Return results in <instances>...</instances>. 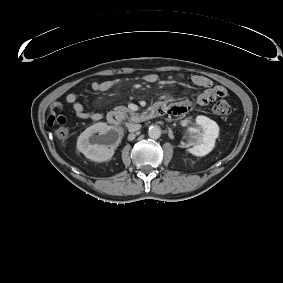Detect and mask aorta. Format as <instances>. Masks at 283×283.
<instances>
[{
	"label": "aorta",
	"mask_w": 283,
	"mask_h": 283,
	"mask_svg": "<svg viewBox=\"0 0 283 283\" xmlns=\"http://www.w3.org/2000/svg\"><path fill=\"white\" fill-rule=\"evenodd\" d=\"M148 135L150 138L158 139L161 136V129L157 125H152L148 129Z\"/></svg>",
	"instance_id": "762f6f07"
}]
</instances>
